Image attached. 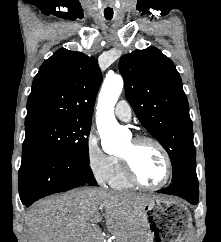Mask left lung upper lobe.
Wrapping results in <instances>:
<instances>
[{
    "mask_svg": "<svg viewBox=\"0 0 221 242\" xmlns=\"http://www.w3.org/2000/svg\"><path fill=\"white\" fill-rule=\"evenodd\" d=\"M119 70L137 118L170 156L172 181L196 170L188 100L173 62L150 46L123 55Z\"/></svg>",
    "mask_w": 221,
    "mask_h": 242,
    "instance_id": "obj_1",
    "label": "left lung upper lobe"
}]
</instances>
